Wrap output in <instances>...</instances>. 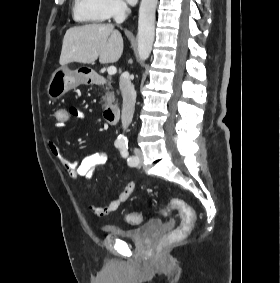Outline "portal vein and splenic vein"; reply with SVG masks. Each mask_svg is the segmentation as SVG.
Listing matches in <instances>:
<instances>
[{"instance_id": "obj_1", "label": "portal vein and splenic vein", "mask_w": 280, "mask_h": 283, "mask_svg": "<svg viewBox=\"0 0 280 283\" xmlns=\"http://www.w3.org/2000/svg\"><path fill=\"white\" fill-rule=\"evenodd\" d=\"M107 72H108L109 75H115L116 72H117V69L114 66H110V67H108Z\"/></svg>"}]
</instances>
